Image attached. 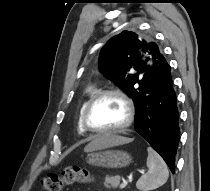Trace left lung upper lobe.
I'll use <instances>...</instances> for the list:
<instances>
[{"instance_id":"1","label":"left lung upper lobe","mask_w":210,"mask_h":191,"mask_svg":"<svg viewBox=\"0 0 210 191\" xmlns=\"http://www.w3.org/2000/svg\"><path fill=\"white\" fill-rule=\"evenodd\" d=\"M165 62L155 43L132 31H123L111 38L99 57L100 70L133 99L135 107Z\"/></svg>"}]
</instances>
